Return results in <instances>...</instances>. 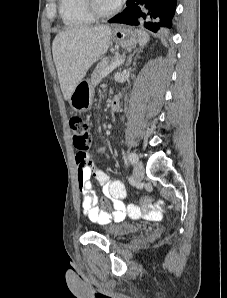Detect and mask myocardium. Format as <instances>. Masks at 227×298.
<instances>
[{"mask_svg": "<svg viewBox=\"0 0 227 298\" xmlns=\"http://www.w3.org/2000/svg\"><path fill=\"white\" fill-rule=\"evenodd\" d=\"M85 7L94 20H102L115 15L119 10L120 3L115 5L111 10L106 12H102L96 7L95 0H85Z\"/></svg>", "mask_w": 227, "mask_h": 298, "instance_id": "obj_1", "label": "myocardium"}]
</instances>
